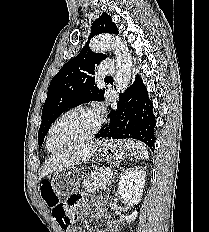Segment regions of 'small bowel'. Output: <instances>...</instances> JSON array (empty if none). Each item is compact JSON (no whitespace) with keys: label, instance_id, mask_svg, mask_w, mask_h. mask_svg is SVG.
I'll use <instances>...</instances> for the list:
<instances>
[{"label":"small bowel","instance_id":"obj_1","mask_svg":"<svg viewBox=\"0 0 209 232\" xmlns=\"http://www.w3.org/2000/svg\"><path fill=\"white\" fill-rule=\"evenodd\" d=\"M84 194H85L84 190H73L72 194H68V198H66L64 201V209H66V213H79V212L82 214L87 213L86 207L82 205V199L85 198ZM94 206L100 207L101 202H96ZM63 230L65 232H81L77 228H70V227Z\"/></svg>","mask_w":209,"mask_h":232}]
</instances>
